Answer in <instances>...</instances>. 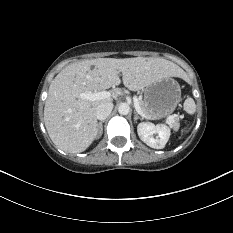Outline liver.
I'll use <instances>...</instances> for the list:
<instances>
[{
    "mask_svg": "<svg viewBox=\"0 0 233 233\" xmlns=\"http://www.w3.org/2000/svg\"><path fill=\"white\" fill-rule=\"evenodd\" d=\"M119 73L125 87L138 91L165 78L181 77L184 72L166 59L150 57L97 58L66 66L52 81L44 107L45 127L56 147L80 153L91 145L98 133L97 106L112 102L118 93L96 101L82 99L79 94L118 86Z\"/></svg>",
    "mask_w": 233,
    "mask_h": 233,
    "instance_id": "1",
    "label": "liver"
}]
</instances>
